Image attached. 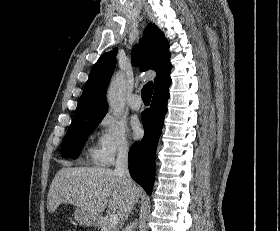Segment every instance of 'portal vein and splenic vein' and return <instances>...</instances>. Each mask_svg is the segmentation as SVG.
I'll list each match as a JSON object with an SVG mask.
<instances>
[{"label":"portal vein and splenic vein","instance_id":"obj_1","mask_svg":"<svg viewBox=\"0 0 280 231\" xmlns=\"http://www.w3.org/2000/svg\"><path fill=\"white\" fill-rule=\"evenodd\" d=\"M107 219L109 223H118V221H120V217L117 213H110V215H107Z\"/></svg>","mask_w":280,"mask_h":231}]
</instances>
